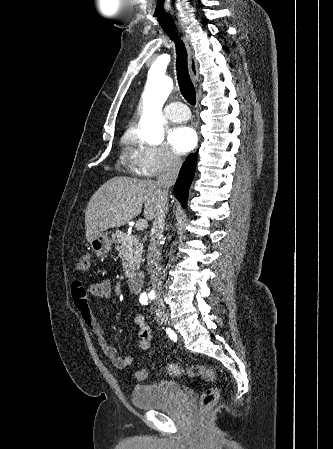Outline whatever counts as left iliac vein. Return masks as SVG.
Masks as SVG:
<instances>
[{
    "label": "left iliac vein",
    "mask_w": 333,
    "mask_h": 449,
    "mask_svg": "<svg viewBox=\"0 0 333 449\" xmlns=\"http://www.w3.org/2000/svg\"><path fill=\"white\" fill-rule=\"evenodd\" d=\"M160 318H161V324L166 325L168 323V319L169 318H168V314H167L165 308H163V311L161 312Z\"/></svg>",
    "instance_id": "left-iliac-vein-1"
}]
</instances>
